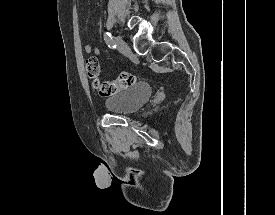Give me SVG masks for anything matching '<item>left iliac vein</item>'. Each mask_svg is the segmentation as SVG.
Returning a JSON list of instances; mask_svg holds the SVG:
<instances>
[{
  "instance_id": "4c4485c4",
  "label": "left iliac vein",
  "mask_w": 275,
  "mask_h": 215,
  "mask_svg": "<svg viewBox=\"0 0 275 215\" xmlns=\"http://www.w3.org/2000/svg\"><path fill=\"white\" fill-rule=\"evenodd\" d=\"M115 43L117 46V49L123 53V54H129L131 52L130 47L128 44L121 38V37H116L115 38Z\"/></svg>"
}]
</instances>
